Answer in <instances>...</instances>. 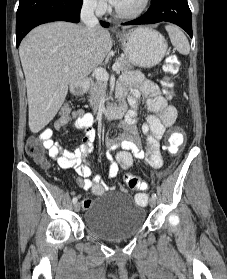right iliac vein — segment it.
Masks as SVG:
<instances>
[{
	"label": "right iliac vein",
	"mask_w": 227,
	"mask_h": 279,
	"mask_svg": "<svg viewBox=\"0 0 227 279\" xmlns=\"http://www.w3.org/2000/svg\"><path fill=\"white\" fill-rule=\"evenodd\" d=\"M74 210L79 211L80 210V203H75L74 204Z\"/></svg>",
	"instance_id": "obj_1"
}]
</instances>
